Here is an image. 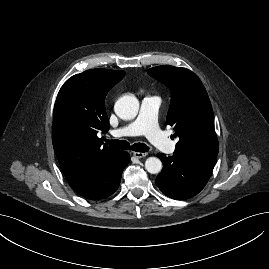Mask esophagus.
I'll use <instances>...</instances> for the list:
<instances>
[{"label": "esophagus", "instance_id": "obj_1", "mask_svg": "<svg viewBox=\"0 0 269 269\" xmlns=\"http://www.w3.org/2000/svg\"><path fill=\"white\" fill-rule=\"evenodd\" d=\"M148 154L144 153V152H134L133 156H135L136 158H143L146 157Z\"/></svg>", "mask_w": 269, "mask_h": 269}]
</instances>
